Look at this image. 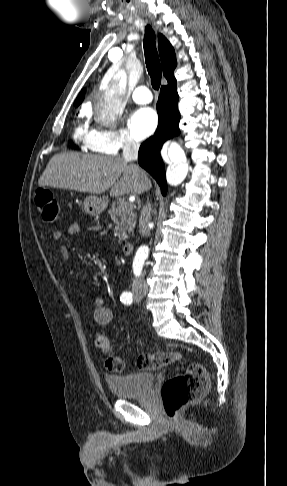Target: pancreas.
Returning a JSON list of instances; mask_svg holds the SVG:
<instances>
[{
    "mask_svg": "<svg viewBox=\"0 0 287 486\" xmlns=\"http://www.w3.org/2000/svg\"><path fill=\"white\" fill-rule=\"evenodd\" d=\"M109 214L115 224V235L118 236L120 241L127 239L128 234L133 231L136 225L133 205L124 200L113 202Z\"/></svg>",
    "mask_w": 287,
    "mask_h": 486,
    "instance_id": "pancreas-1",
    "label": "pancreas"
}]
</instances>
